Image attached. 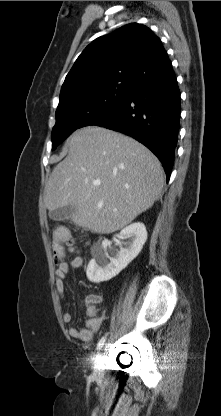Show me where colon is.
Wrapping results in <instances>:
<instances>
[{"instance_id":"1","label":"colon","mask_w":221,"mask_h":416,"mask_svg":"<svg viewBox=\"0 0 221 416\" xmlns=\"http://www.w3.org/2000/svg\"><path fill=\"white\" fill-rule=\"evenodd\" d=\"M51 248L56 263L62 262L67 253L73 254L75 252L72 238L66 230H56L53 232ZM96 301L94 300V302Z\"/></svg>"}]
</instances>
